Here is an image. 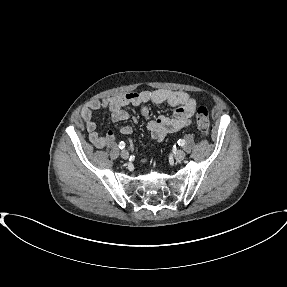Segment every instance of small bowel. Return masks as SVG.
Wrapping results in <instances>:
<instances>
[{"mask_svg":"<svg viewBox=\"0 0 287 287\" xmlns=\"http://www.w3.org/2000/svg\"><path fill=\"white\" fill-rule=\"evenodd\" d=\"M148 102L154 104L166 103L176 107V109L172 116L160 115L156 118H151L148 108L145 107V104ZM130 105L140 107L141 114L147 120V128L152 137L157 141H162L167 134L178 132L190 124L195 111L196 101L186 92L168 89L131 92L93 100L82 109L81 117L89 133V140L95 147L103 148L110 145L113 143L115 135L111 130L104 135L97 131L94 111L107 109L111 113L112 121L120 122L129 118L125 108ZM133 119L135 122L137 121L136 117H133ZM120 132L123 135H130L132 128L123 126ZM142 162L145 163L146 159H143Z\"/></svg>","mask_w":287,"mask_h":287,"instance_id":"obj_1","label":"small bowel"}]
</instances>
